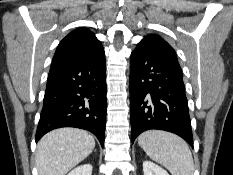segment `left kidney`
<instances>
[{"mask_svg": "<svg viewBox=\"0 0 233 175\" xmlns=\"http://www.w3.org/2000/svg\"><path fill=\"white\" fill-rule=\"evenodd\" d=\"M144 175H169L168 172L151 161L143 162Z\"/></svg>", "mask_w": 233, "mask_h": 175, "instance_id": "obj_1", "label": "left kidney"}]
</instances>
